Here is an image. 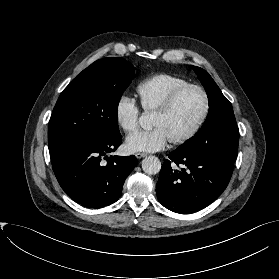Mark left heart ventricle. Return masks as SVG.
Here are the masks:
<instances>
[{"mask_svg": "<svg viewBox=\"0 0 279 279\" xmlns=\"http://www.w3.org/2000/svg\"><path fill=\"white\" fill-rule=\"evenodd\" d=\"M203 96L194 89L183 92L166 115H152L153 127L161 128L173 140L188 132L199 118L203 109Z\"/></svg>", "mask_w": 279, "mask_h": 279, "instance_id": "1", "label": "left heart ventricle"}]
</instances>
